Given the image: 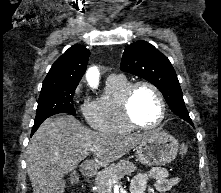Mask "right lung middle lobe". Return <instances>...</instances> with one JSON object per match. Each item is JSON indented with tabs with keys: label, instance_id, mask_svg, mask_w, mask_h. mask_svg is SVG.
<instances>
[{
	"label": "right lung middle lobe",
	"instance_id": "obj_1",
	"mask_svg": "<svg viewBox=\"0 0 221 193\" xmlns=\"http://www.w3.org/2000/svg\"><path fill=\"white\" fill-rule=\"evenodd\" d=\"M77 86L52 87L40 92L35 123L58 114H76L73 106V95Z\"/></svg>",
	"mask_w": 221,
	"mask_h": 193
}]
</instances>
